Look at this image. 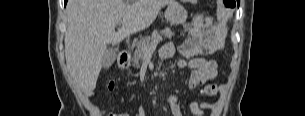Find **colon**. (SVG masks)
I'll return each instance as SVG.
<instances>
[{"label":"colon","instance_id":"obj_1","mask_svg":"<svg viewBox=\"0 0 305 116\" xmlns=\"http://www.w3.org/2000/svg\"><path fill=\"white\" fill-rule=\"evenodd\" d=\"M218 7L222 12H228L233 8V4L229 0H218ZM115 83L113 80L108 81V88L110 90L114 89ZM106 116H130L128 112H120V113H109Z\"/></svg>","mask_w":305,"mask_h":116}]
</instances>
